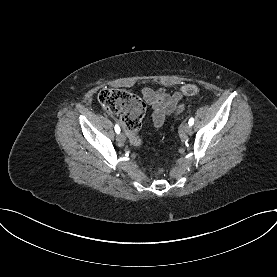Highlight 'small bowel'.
<instances>
[{
    "instance_id": "small-bowel-1",
    "label": "small bowel",
    "mask_w": 277,
    "mask_h": 277,
    "mask_svg": "<svg viewBox=\"0 0 277 277\" xmlns=\"http://www.w3.org/2000/svg\"><path fill=\"white\" fill-rule=\"evenodd\" d=\"M141 93L145 101L153 108L151 119L155 128L161 127L167 116H178L183 111L180 91L169 93L163 88L144 87Z\"/></svg>"
}]
</instances>
